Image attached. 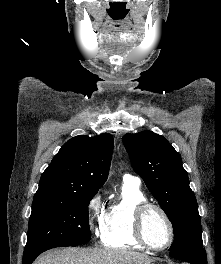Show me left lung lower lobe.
<instances>
[{"mask_svg": "<svg viewBox=\"0 0 221 264\" xmlns=\"http://www.w3.org/2000/svg\"><path fill=\"white\" fill-rule=\"evenodd\" d=\"M169 255L190 264H207L206 251L204 248H188L170 251Z\"/></svg>", "mask_w": 221, "mask_h": 264, "instance_id": "left-lung-lower-lobe-1", "label": "left lung lower lobe"}]
</instances>
